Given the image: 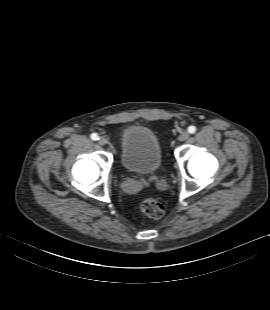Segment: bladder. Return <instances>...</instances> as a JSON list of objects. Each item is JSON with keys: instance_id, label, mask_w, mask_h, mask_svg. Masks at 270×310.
I'll list each match as a JSON object with an SVG mask.
<instances>
[{"instance_id": "obj_1", "label": "bladder", "mask_w": 270, "mask_h": 310, "mask_svg": "<svg viewBox=\"0 0 270 310\" xmlns=\"http://www.w3.org/2000/svg\"><path fill=\"white\" fill-rule=\"evenodd\" d=\"M120 161L131 172L153 174L163 163L162 150L157 135L148 127L130 125L120 136Z\"/></svg>"}]
</instances>
